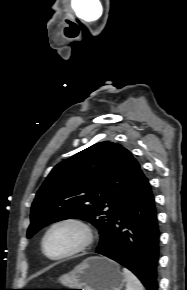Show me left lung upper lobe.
<instances>
[{"mask_svg": "<svg viewBox=\"0 0 187 290\" xmlns=\"http://www.w3.org/2000/svg\"><path fill=\"white\" fill-rule=\"evenodd\" d=\"M144 178L120 144L90 146L52 169L33 201L27 237L53 222L79 218L98 228L102 244L120 204Z\"/></svg>", "mask_w": 187, "mask_h": 290, "instance_id": "left-lung-upper-lobe-1", "label": "left lung upper lobe"}]
</instances>
